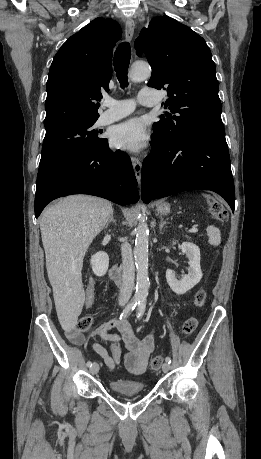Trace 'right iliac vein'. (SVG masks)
Instances as JSON below:
<instances>
[{"label": "right iliac vein", "instance_id": "obj_1", "mask_svg": "<svg viewBox=\"0 0 261 459\" xmlns=\"http://www.w3.org/2000/svg\"><path fill=\"white\" fill-rule=\"evenodd\" d=\"M98 371H99L98 363H93V365L90 368V373L94 375V374H97Z\"/></svg>", "mask_w": 261, "mask_h": 459}]
</instances>
